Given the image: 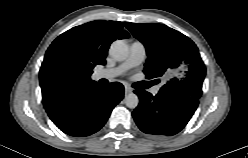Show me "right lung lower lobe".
Returning <instances> with one entry per match:
<instances>
[{"label": "right lung lower lobe", "mask_w": 248, "mask_h": 158, "mask_svg": "<svg viewBox=\"0 0 248 158\" xmlns=\"http://www.w3.org/2000/svg\"><path fill=\"white\" fill-rule=\"evenodd\" d=\"M123 96L121 83H111L108 88L94 83L47 98L43 105L62 132L77 137L88 136L102 128Z\"/></svg>", "instance_id": "1"}]
</instances>
